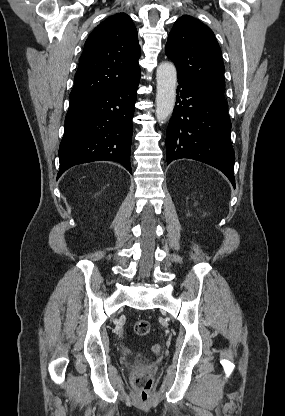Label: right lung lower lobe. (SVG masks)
<instances>
[{"mask_svg":"<svg viewBox=\"0 0 285 416\" xmlns=\"http://www.w3.org/2000/svg\"><path fill=\"white\" fill-rule=\"evenodd\" d=\"M140 75L101 96L70 105L59 147L57 179L70 167L110 160L130 173L132 118Z\"/></svg>","mask_w":285,"mask_h":416,"instance_id":"98d812e1","label":"right lung lower lobe"}]
</instances>
